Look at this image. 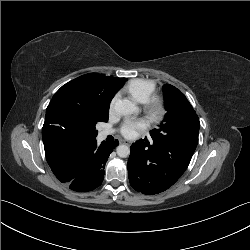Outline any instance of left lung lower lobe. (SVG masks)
<instances>
[{"label": "left lung lower lobe", "mask_w": 250, "mask_h": 250, "mask_svg": "<svg viewBox=\"0 0 250 250\" xmlns=\"http://www.w3.org/2000/svg\"><path fill=\"white\" fill-rule=\"evenodd\" d=\"M197 144L198 134L133 143L128 159L130 185L147 195L165 191L184 173Z\"/></svg>", "instance_id": "left-lung-lower-lobe-1"}]
</instances>
